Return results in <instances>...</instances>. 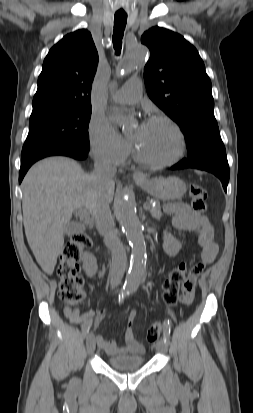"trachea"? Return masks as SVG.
Wrapping results in <instances>:
<instances>
[{
	"mask_svg": "<svg viewBox=\"0 0 253 413\" xmlns=\"http://www.w3.org/2000/svg\"><path fill=\"white\" fill-rule=\"evenodd\" d=\"M127 23L126 14H115L114 30H113V46L117 55L120 54L122 48V38L124 35L125 26Z\"/></svg>",
	"mask_w": 253,
	"mask_h": 413,
	"instance_id": "1",
	"label": "trachea"
}]
</instances>
